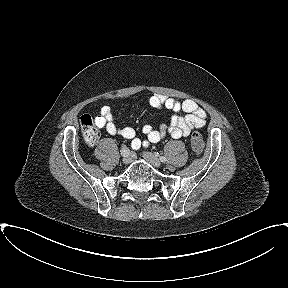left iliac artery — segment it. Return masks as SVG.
<instances>
[{
	"label": "left iliac artery",
	"mask_w": 288,
	"mask_h": 288,
	"mask_svg": "<svg viewBox=\"0 0 288 288\" xmlns=\"http://www.w3.org/2000/svg\"><path fill=\"white\" fill-rule=\"evenodd\" d=\"M160 160H161L162 162H165V161H166V158H165L164 156H161V157H160Z\"/></svg>",
	"instance_id": "left-iliac-artery-1"
}]
</instances>
